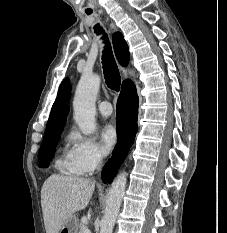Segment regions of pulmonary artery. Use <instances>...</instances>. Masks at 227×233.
Here are the masks:
<instances>
[{
	"label": "pulmonary artery",
	"instance_id": "e3ab8cb5",
	"mask_svg": "<svg viewBox=\"0 0 227 233\" xmlns=\"http://www.w3.org/2000/svg\"><path fill=\"white\" fill-rule=\"evenodd\" d=\"M98 110L99 113L104 117L110 116L113 112L112 106L108 101L101 102L98 106Z\"/></svg>",
	"mask_w": 227,
	"mask_h": 233
}]
</instances>
